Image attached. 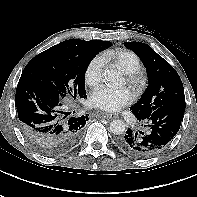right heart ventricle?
I'll return each mask as SVG.
<instances>
[{
	"instance_id": "right-heart-ventricle-1",
	"label": "right heart ventricle",
	"mask_w": 197,
	"mask_h": 197,
	"mask_svg": "<svg viewBox=\"0 0 197 197\" xmlns=\"http://www.w3.org/2000/svg\"><path fill=\"white\" fill-rule=\"evenodd\" d=\"M104 56L113 60L115 65L126 74H133L141 70L142 63L140 58L130 50L116 49L105 53Z\"/></svg>"
}]
</instances>
